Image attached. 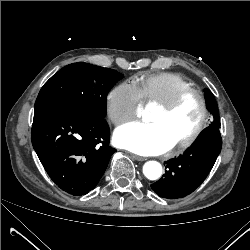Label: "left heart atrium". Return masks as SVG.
Returning a JSON list of instances; mask_svg holds the SVG:
<instances>
[{"instance_id":"obj_1","label":"left heart atrium","mask_w":250,"mask_h":250,"mask_svg":"<svg viewBox=\"0 0 250 250\" xmlns=\"http://www.w3.org/2000/svg\"><path fill=\"white\" fill-rule=\"evenodd\" d=\"M116 145L140 155H158L174 144L159 125L131 122L119 127L114 134Z\"/></svg>"}]
</instances>
